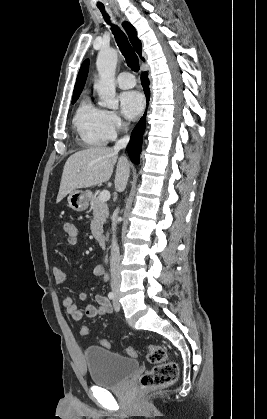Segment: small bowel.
Instances as JSON below:
<instances>
[{
    "mask_svg": "<svg viewBox=\"0 0 267 419\" xmlns=\"http://www.w3.org/2000/svg\"><path fill=\"white\" fill-rule=\"evenodd\" d=\"M53 277L56 283L62 284L65 283L69 276L59 267H53L52 269ZM92 275L98 278H101L104 281L108 280V274L104 266L97 265L92 270ZM79 299L81 301L86 299V293L81 292L79 294ZM97 305H86L83 307L78 306L74 299L70 296H67L63 299V306L68 315H70L74 320H81L84 316L88 318H94L97 316L106 315L111 312V304L107 297L98 295L96 296Z\"/></svg>",
    "mask_w": 267,
    "mask_h": 419,
    "instance_id": "obj_1",
    "label": "small bowel"
}]
</instances>
